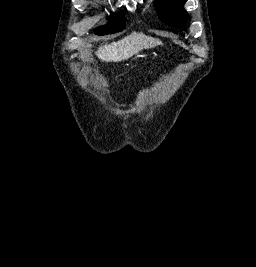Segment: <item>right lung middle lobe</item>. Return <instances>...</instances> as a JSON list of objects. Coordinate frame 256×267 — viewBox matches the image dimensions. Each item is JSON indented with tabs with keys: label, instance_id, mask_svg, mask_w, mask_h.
Returning a JSON list of instances; mask_svg holds the SVG:
<instances>
[{
	"label": "right lung middle lobe",
	"instance_id": "dd1d6c3e",
	"mask_svg": "<svg viewBox=\"0 0 256 267\" xmlns=\"http://www.w3.org/2000/svg\"><path fill=\"white\" fill-rule=\"evenodd\" d=\"M126 18L122 16H111L110 23L95 31L97 35H105L121 31L125 28Z\"/></svg>",
	"mask_w": 256,
	"mask_h": 267
}]
</instances>
